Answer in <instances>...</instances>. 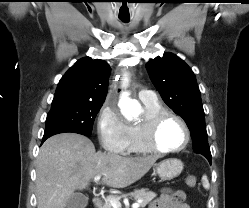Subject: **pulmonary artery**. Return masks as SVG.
I'll use <instances>...</instances> for the list:
<instances>
[{"instance_id":"pulmonary-artery-1","label":"pulmonary artery","mask_w":249,"mask_h":208,"mask_svg":"<svg viewBox=\"0 0 249 208\" xmlns=\"http://www.w3.org/2000/svg\"><path fill=\"white\" fill-rule=\"evenodd\" d=\"M138 97L144 104H156L157 103V98L152 91L141 90L139 92Z\"/></svg>"}]
</instances>
